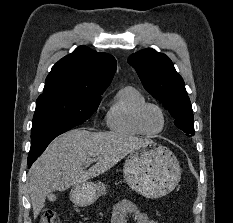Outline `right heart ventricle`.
I'll list each match as a JSON object with an SVG mask.
<instances>
[{"mask_svg": "<svg viewBox=\"0 0 233 223\" xmlns=\"http://www.w3.org/2000/svg\"><path fill=\"white\" fill-rule=\"evenodd\" d=\"M144 102L146 97L136 86L128 84L120 87L105 112L107 128L124 136H143L135 124V114Z\"/></svg>", "mask_w": 233, "mask_h": 223, "instance_id": "1", "label": "right heart ventricle"}]
</instances>
